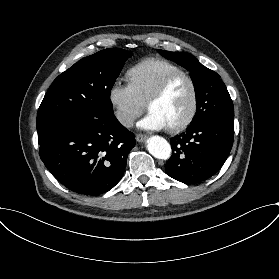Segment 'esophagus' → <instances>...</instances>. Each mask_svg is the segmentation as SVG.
<instances>
[{
  "mask_svg": "<svg viewBox=\"0 0 279 279\" xmlns=\"http://www.w3.org/2000/svg\"><path fill=\"white\" fill-rule=\"evenodd\" d=\"M146 139H147V137L145 135L139 134L136 136L137 142H144Z\"/></svg>",
  "mask_w": 279,
  "mask_h": 279,
  "instance_id": "esophagus-1",
  "label": "esophagus"
}]
</instances>
